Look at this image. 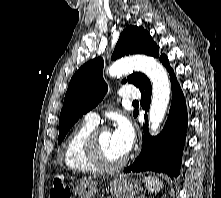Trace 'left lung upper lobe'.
I'll return each instance as SVG.
<instances>
[{
    "instance_id": "5c2ea615",
    "label": "left lung upper lobe",
    "mask_w": 221,
    "mask_h": 198,
    "mask_svg": "<svg viewBox=\"0 0 221 198\" xmlns=\"http://www.w3.org/2000/svg\"><path fill=\"white\" fill-rule=\"evenodd\" d=\"M159 47L150 34L142 27L128 26L120 35L111 60L132 54H146L159 57ZM165 57L162 54L159 60ZM104 62L101 57L95 58L79 68L69 83L59 118L58 143H61L72 125L85 113L103 99L107 85L103 79ZM148 78L142 73H133L123 83H132L140 88ZM137 112L133 113L136 116Z\"/></svg>"
}]
</instances>
